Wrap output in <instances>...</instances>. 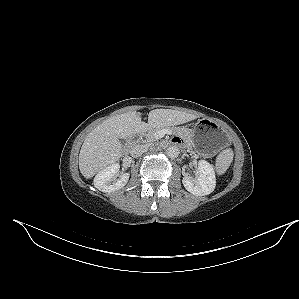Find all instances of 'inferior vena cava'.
I'll return each mask as SVG.
<instances>
[{"label":"inferior vena cava","mask_w":299,"mask_h":299,"mask_svg":"<svg viewBox=\"0 0 299 299\" xmlns=\"http://www.w3.org/2000/svg\"><path fill=\"white\" fill-rule=\"evenodd\" d=\"M148 150V146L146 144H137L132 147L130 150V154L132 157H140L144 152Z\"/></svg>","instance_id":"obj_1"}]
</instances>
